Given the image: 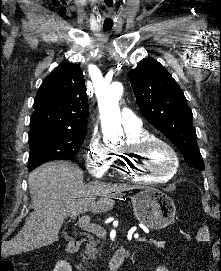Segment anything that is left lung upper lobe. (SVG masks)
<instances>
[{
	"label": "left lung upper lobe",
	"mask_w": 221,
	"mask_h": 271,
	"mask_svg": "<svg viewBox=\"0 0 221 271\" xmlns=\"http://www.w3.org/2000/svg\"><path fill=\"white\" fill-rule=\"evenodd\" d=\"M129 79L145 118L177 146L191 166L205 170L192 111L171 74L161 63L147 58L129 72Z\"/></svg>",
	"instance_id": "obj_1"
}]
</instances>
